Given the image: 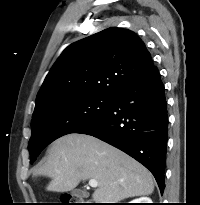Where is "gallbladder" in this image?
<instances>
[{"mask_svg": "<svg viewBox=\"0 0 200 205\" xmlns=\"http://www.w3.org/2000/svg\"><path fill=\"white\" fill-rule=\"evenodd\" d=\"M72 195L76 197H83V196H87L88 194L85 191H82L80 189H74L72 191Z\"/></svg>", "mask_w": 200, "mask_h": 205, "instance_id": "obj_1", "label": "gallbladder"}]
</instances>
